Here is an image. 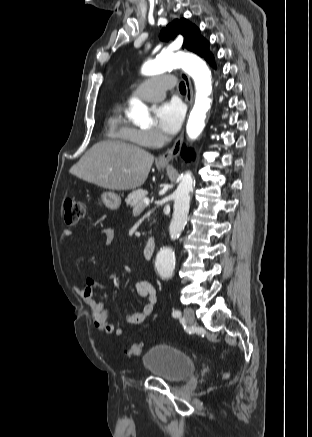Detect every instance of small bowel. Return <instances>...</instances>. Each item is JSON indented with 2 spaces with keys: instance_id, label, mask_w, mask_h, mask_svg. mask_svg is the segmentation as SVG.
Returning <instances> with one entry per match:
<instances>
[{
  "instance_id": "1",
  "label": "small bowel",
  "mask_w": 312,
  "mask_h": 437,
  "mask_svg": "<svg viewBox=\"0 0 312 437\" xmlns=\"http://www.w3.org/2000/svg\"><path fill=\"white\" fill-rule=\"evenodd\" d=\"M101 234L105 238L106 244L109 245L115 238V230L111 227L104 228ZM72 232L67 230L64 232V236H71ZM103 287L97 283L92 277H87L84 281V285L81 288H77L76 291L81 300L88 306L94 326L103 333L111 335H121L123 329L110 323L108 321L110 310L104 301H96L93 297L96 289H102ZM136 291L141 298L146 300L141 312L130 313L126 316V323L128 325H139L146 321V319L153 313L158 296L153 285L146 280L137 282Z\"/></svg>"
}]
</instances>
